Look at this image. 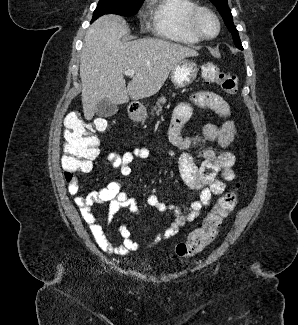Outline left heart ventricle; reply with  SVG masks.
Instances as JSON below:
<instances>
[{
	"label": "left heart ventricle",
	"mask_w": 298,
	"mask_h": 325,
	"mask_svg": "<svg viewBox=\"0 0 298 325\" xmlns=\"http://www.w3.org/2000/svg\"><path fill=\"white\" fill-rule=\"evenodd\" d=\"M198 27L201 30V32L207 36L210 37L214 34L215 28L212 20L206 16L202 15L198 21Z\"/></svg>",
	"instance_id": "b2bd125f"
}]
</instances>
